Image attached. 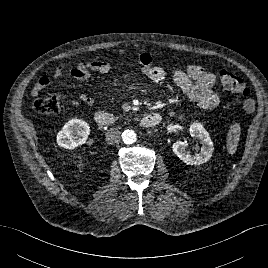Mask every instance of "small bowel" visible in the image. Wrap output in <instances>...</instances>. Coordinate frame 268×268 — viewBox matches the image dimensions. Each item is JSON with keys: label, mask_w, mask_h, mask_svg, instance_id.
Segmentation results:
<instances>
[{"label": "small bowel", "mask_w": 268, "mask_h": 268, "mask_svg": "<svg viewBox=\"0 0 268 268\" xmlns=\"http://www.w3.org/2000/svg\"><path fill=\"white\" fill-rule=\"evenodd\" d=\"M137 64L141 74L152 82L159 83L166 78L164 68L153 65V58L147 52H142L137 57ZM111 69L112 63L107 59L66 61L57 67L53 79L59 80L68 74L76 80L85 81L93 72L107 73ZM172 80L198 107L211 109L217 105L219 96L213 89L214 75L203 67L193 64L188 65L184 70L175 69L172 71ZM49 84L50 78L41 77L32 88L31 95L37 96ZM80 98L87 105L94 103L93 97L87 94H82Z\"/></svg>", "instance_id": "c3829d8e"}]
</instances>
